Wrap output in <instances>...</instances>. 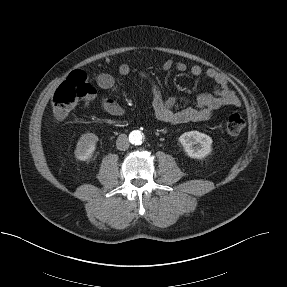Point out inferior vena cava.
Returning <instances> with one entry per match:
<instances>
[{"label": "inferior vena cava", "mask_w": 287, "mask_h": 287, "mask_svg": "<svg viewBox=\"0 0 287 287\" xmlns=\"http://www.w3.org/2000/svg\"><path fill=\"white\" fill-rule=\"evenodd\" d=\"M116 146L118 150L125 151L129 148V140L126 134H121L116 140Z\"/></svg>", "instance_id": "obj_1"}]
</instances>
